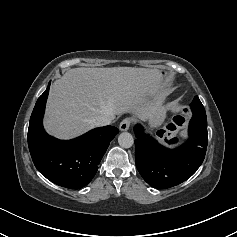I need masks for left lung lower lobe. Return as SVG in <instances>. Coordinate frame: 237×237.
<instances>
[{
  "instance_id": "0a47b994",
  "label": "left lung lower lobe",
  "mask_w": 237,
  "mask_h": 237,
  "mask_svg": "<svg viewBox=\"0 0 237 237\" xmlns=\"http://www.w3.org/2000/svg\"><path fill=\"white\" fill-rule=\"evenodd\" d=\"M172 126L171 124L168 128ZM135 160L143 179L152 187L166 189L176 186L191 177L202 164L208 143L207 118L192 116L189 124V139L183 145L168 149L152 137L144 135L136 125ZM164 131H158L162 137Z\"/></svg>"
}]
</instances>
